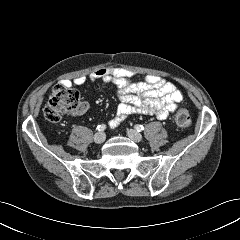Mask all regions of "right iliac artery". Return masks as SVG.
Listing matches in <instances>:
<instances>
[{"label": "right iliac artery", "instance_id": "obj_1", "mask_svg": "<svg viewBox=\"0 0 240 240\" xmlns=\"http://www.w3.org/2000/svg\"><path fill=\"white\" fill-rule=\"evenodd\" d=\"M105 129H106V125H104V124H101V125L97 126L98 131H104Z\"/></svg>", "mask_w": 240, "mask_h": 240}]
</instances>
